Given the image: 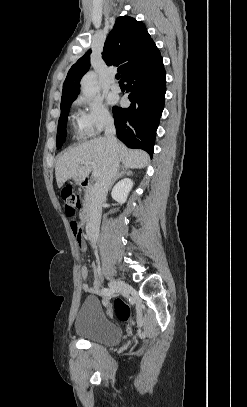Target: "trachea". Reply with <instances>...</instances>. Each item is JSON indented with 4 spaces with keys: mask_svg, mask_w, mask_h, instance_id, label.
<instances>
[{
    "mask_svg": "<svg viewBox=\"0 0 247 407\" xmlns=\"http://www.w3.org/2000/svg\"><path fill=\"white\" fill-rule=\"evenodd\" d=\"M115 78H116L117 80H119V79H120V74H119V73L116 74V75H115Z\"/></svg>",
    "mask_w": 247,
    "mask_h": 407,
    "instance_id": "3493384b",
    "label": "trachea"
}]
</instances>
